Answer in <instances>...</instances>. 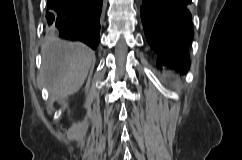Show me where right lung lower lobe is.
Masks as SVG:
<instances>
[{
  "mask_svg": "<svg viewBox=\"0 0 242 160\" xmlns=\"http://www.w3.org/2000/svg\"><path fill=\"white\" fill-rule=\"evenodd\" d=\"M103 0H47L46 32L96 49Z\"/></svg>",
  "mask_w": 242,
  "mask_h": 160,
  "instance_id": "98d812e1",
  "label": "right lung lower lobe"
}]
</instances>
